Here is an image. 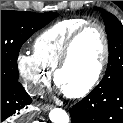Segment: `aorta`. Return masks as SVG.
Here are the masks:
<instances>
[{"mask_svg": "<svg viewBox=\"0 0 123 123\" xmlns=\"http://www.w3.org/2000/svg\"><path fill=\"white\" fill-rule=\"evenodd\" d=\"M52 123H69V116L65 110L61 108H54L49 113Z\"/></svg>", "mask_w": 123, "mask_h": 123, "instance_id": "obj_1", "label": "aorta"}]
</instances>
